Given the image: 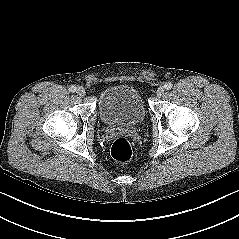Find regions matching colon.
<instances>
[{
    "mask_svg": "<svg viewBox=\"0 0 239 239\" xmlns=\"http://www.w3.org/2000/svg\"><path fill=\"white\" fill-rule=\"evenodd\" d=\"M112 157L119 162H127L132 157V147L125 137H118L111 146Z\"/></svg>",
    "mask_w": 239,
    "mask_h": 239,
    "instance_id": "obj_1",
    "label": "colon"
}]
</instances>
